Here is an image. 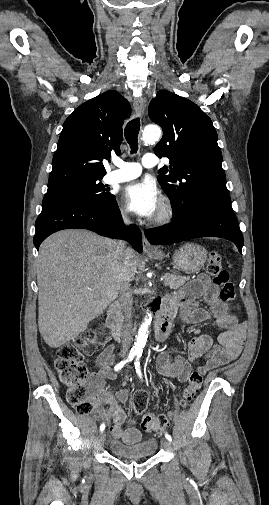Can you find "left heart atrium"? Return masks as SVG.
I'll return each mask as SVG.
<instances>
[{"mask_svg":"<svg viewBox=\"0 0 269 505\" xmlns=\"http://www.w3.org/2000/svg\"><path fill=\"white\" fill-rule=\"evenodd\" d=\"M127 208L142 217H152L161 206V197L156 185L142 180L127 185L122 194Z\"/></svg>","mask_w":269,"mask_h":505,"instance_id":"obj_1","label":"left heart atrium"}]
</instances>
